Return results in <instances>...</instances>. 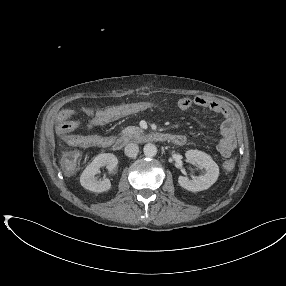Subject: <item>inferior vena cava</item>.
<instances>
[{
    "mask_svg": "<svg viewBox=\"0 0 286 286\" xmlns=\"http://www.w3.org/2000/svg\"><path fill=\"white\" fill-rule=\"evenodd\" d=\"M124 152L128 157H135L139 152V147L135 143H129L126 145Z\"/></svg>",
    "mask_w": 286,
    "mask_h": 286,
    "instance_id": "inferior-vena-cava-1",
    "label": "inferior vena cava"
}]
</instances>
